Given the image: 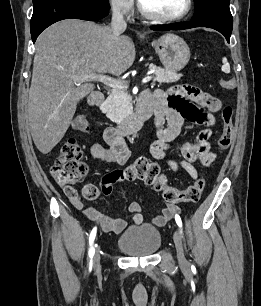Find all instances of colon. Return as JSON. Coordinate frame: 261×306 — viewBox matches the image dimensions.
Returning <instances> with one entry per match:
<instances>
[{
    "instance_id": "1",
    "label": "colon",
    "mask_w": 261,
    "mask_h": 306,
    "mask_svg": "<svg viewBox=\"0 0 261 306\" xmlns=\"http://www.w3.org/2000/svg\"><path fill=\"white\" fill-rule=\"evenodd\" d=\"M220 85L225 90L235 88L233 78H222ZM223 124L222 133L217 141L219 150H226L230 147L235 134L233 124V109L230 106L223 108L221 113ZM73 127L81 132L89 131V122L85 116L79 115L73 121ZM82 149L73 138L68 139L62 145L60 153L51 167L53 178L68 191H72V185L80 182L87 174V166L81 161ZM109 180L113 182L141 180L152 186L156 191L162 192L163 198L168 203L197 202L204 189L203 178L197 179L192 185L184 190L168 186L166 176L161 172L156 163L145 158H139L124 170L111 173ZM99 195L96 187L88 188L84 196L88 199H95Z\"/></svg>"
}]
</instances>
